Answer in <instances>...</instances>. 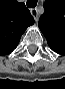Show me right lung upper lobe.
I'll return each mask as SVG.
<instances>
[{
	"mask_svg": "<svg viewBox=\"0 0 65 89\" xmlns=\"http://www.w3.org/2000/svg\"><path fill=\"white\" fill-rule=\"evenodd\" d=\"M34 18L24 3L0 0V55L11 53Z\"/></svg>",
	"mask_w": 65,
	"mask_h": 89,
	"instance_id": "obj_1",
	"label": "right lung upper lobe"
}]
</instances>
